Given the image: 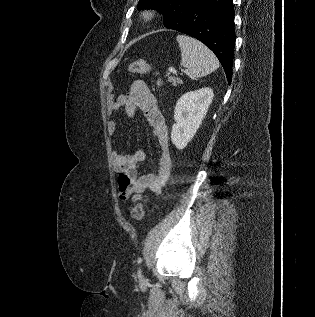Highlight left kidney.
I'll list each match as a JSON object with an SVG mask.
<instances>
[{"label":"left kidney","instance_id":"1","mask_svg":"<svg viewBox=\"0 0 315 317\" xmlns=\"http://www.w3.org/2000/svg\"><path fill=\"white\" fill-rule=\"evenodd\" d=\"M214 97L213 90L204 87L185 93L178 100L175 124L172 126L171 141L178 149H184L200 127Z\"/></svg>","mask_w":315,"mask_h":317}]
</instances>
